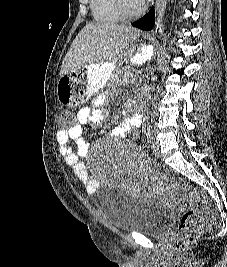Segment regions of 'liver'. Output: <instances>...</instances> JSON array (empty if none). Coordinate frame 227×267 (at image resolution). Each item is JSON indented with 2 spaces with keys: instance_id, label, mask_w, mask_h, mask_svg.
Segmentation results:
<instances>
[{
  "instance_id": "liver-1",
  "label": "liver",
  "mask_w": 227,
  "mask_h": 267,
  "mask_svg": "<svg viewBox=\"0 0 227 267\" xmlns=\"http://www.w3.org/2000/svg\"><path fill=\"white\" fill-rule=\"evenodd\" d=\"M139 30L116 23H88L76 36L61 66L60 77L80 67L116 60Z\"/></svg>"
}]
</instances>
